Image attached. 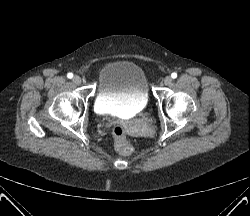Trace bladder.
I'll use <instances>...</instances> for the list:
<instances>
[{
	"label": "bladder",
	"instance_id": "obj_1",
	"mask_svg": "<svg viewBox=\"0 0 250 216\" xmlns=\"http://www.w3.org/2000/svg\"><path fill=\"white\" fill-rule=\"evenodd\" d=\"M149 100L143 70L129 61H115L99 72L95 108L102 114H136Z\"/></svg>",
	"mask_w": 250,
	"mask_h": 216
}]
</instances>
